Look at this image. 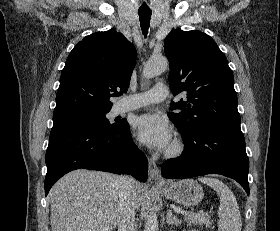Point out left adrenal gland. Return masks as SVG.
Listing matches in <instances>:
<instances>
[{
    "label": "left adrenal gland",
    "mask_w": 280,
    "mask_h": 231,
    "mask_svg": "<svg viewBox=\"0 0 280 231\" xmlns=\"http://www.w3.org/2000/svg\"><path fill=\"white\" fill-rule=\"evenodd\" d=\"M166 221L168 225H179V223H182L181 219H178L177 215H173L171 209H168L167 211Z\"/></svg>",
    "instance_id": "a2214340"
}]
</instances>
